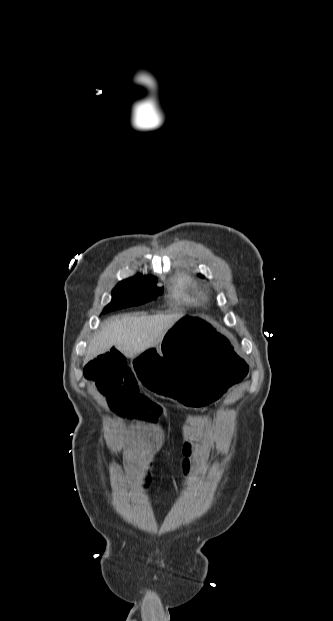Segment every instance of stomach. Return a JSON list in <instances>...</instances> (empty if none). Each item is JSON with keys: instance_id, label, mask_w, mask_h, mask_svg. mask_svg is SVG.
I'll return each mask as SVG.
<instances>
[{"instance_id": "1", "label": "stomach", "mask_w": 333, "mask_h": 621, "mask_svg": "<svg viewBox=\"0 0 333 621\" xmlns=\"http://www.w3.org/2000/svg\"><path fill=\"white\" fill-rule=\"evenodd\" d=\"M228 337L205 315L185 316L158 346L147 343L132 368L147 395L176 400L193 410H214V399L229 396V388L240 385L249 372L245 354L229 346Z\"/></svg>"}]
</instances>
